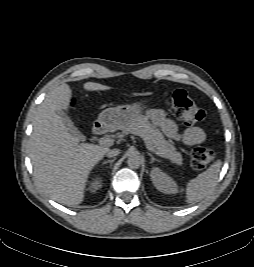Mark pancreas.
Returning <instances> with one entry per match:
<instances>
[{
  "mask_svg": "<svg viewBox=\"0 0 254 267\" xmlns=\"http://www.w3.org/2000/svg\"><path fill=\"white\" fill-rule=\"evenodd\" d=\"M123 133L140 136L145 143L150 144L155 149L159 156L169 159L178 166H182V155L164 138L159 129L151 125L143 117H140L137 121L123 129Z\"/></svg>",
  "mask_w": 254,
  "mask_h": 267,
  "instance_id": "pancreas-1",
  "label": "pancreas"
}]
</instances>
